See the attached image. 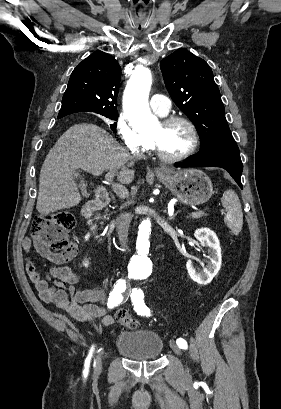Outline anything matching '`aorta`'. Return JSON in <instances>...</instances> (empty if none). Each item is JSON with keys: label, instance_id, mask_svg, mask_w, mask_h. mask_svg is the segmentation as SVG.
<instances>
[{"label": "aorta", "instance_id": "aorta-1", "mask_svg": "<svg viewBox=\"0 0 281 409\" xmlns=\"http://www.w3.org/2000/svg\"><path fill=\"white\" fill-rule=\"evenodd\" d=\"M152 84V75L149 69L139 66L135 70L124 94V111L128 117L130 125L139 133H147L154 129L157 118L152 115L148 97ZM150 220H144L140 225L142 232H149Z\"/></svg>", "mask_w": 281, "mask_h": 409}]
</instances>
